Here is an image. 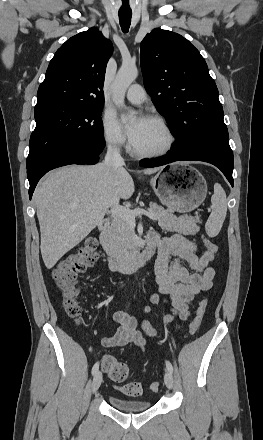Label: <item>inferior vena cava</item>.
Masks as SVG:
<instances>
[{
    "instance_id": "602c4592",
    "label": "inferior vena cava",
    "mask_w": 263,
    "mask_h": 440,
    "mask_svg": "<svg viewBox=\"0 0 263 440\" xmlns=\"http://www.w3.org/2000/svg\"><path fill=\"white\" fill-rule=\"evenodd\" d=\"M104 164L111 171L123 167L124 159L121 157L120 150L118 147L112 144L108 146Z\"/></svg>"
}]
</instances>
